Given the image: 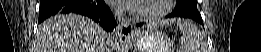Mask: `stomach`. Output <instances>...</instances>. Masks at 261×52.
<instances>
[{"label":"stomach","mask_w":261,"mask_h":52,"mask_svg":"<svg viewBox=\"0 0 261 52\" xmlns=\"http://www.w3.org/2000/svg\"><path fill=\"white\" fill-rule=\"evenodd\" d=\"M130 43L135 52H169L168 39L153 28L136 31L131 36Z\"/></svg>","instance_id":"0dacf381"}]
</instances>
